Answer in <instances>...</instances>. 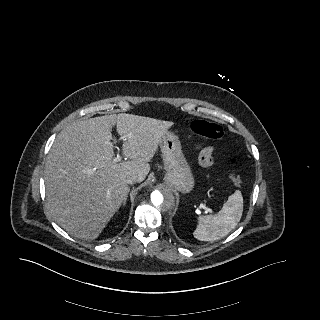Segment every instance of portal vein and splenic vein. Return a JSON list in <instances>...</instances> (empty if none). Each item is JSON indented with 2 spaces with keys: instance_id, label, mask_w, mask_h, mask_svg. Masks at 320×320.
<instances>
[{
  "instance_id": "18ae733b",
  "label": "portal vein and splenic vein",
  "mask_w": 320,
  "mask_h": 320,
  "mask_svg": "<svg viewBox=\"0 0 320 320\" xmlns=\"http://www.w3.org/2000/svg\"><path fill=\"white\" fill-rule=\"evenodd\" d=\"M121 160V156L117 155V157L113 160L114 163H117ZM93 171H95V168L93 169ZM205 207V206H204Z\"/></svg>"
}]
</instances>
